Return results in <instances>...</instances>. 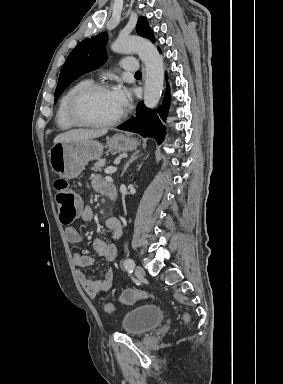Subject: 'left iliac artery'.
Returning <instances> with one entry per match:
<instances>
[{"label":"left iliac artery","instance_id":"left-iliac-artery-1","mask_svg":"<svg viewBox=\"0 0 283 384\" xmlns=\"http://www.w3.org/2000/svg\"><path fill=\"white\" fill-rule=\"evenodd\" d=\"M125 268L127 269L128 272H133V269L135 267V262L132 259H126L124 262Z\"/></svg>","mask_w":283,"mask_h":384}]
</instances>
